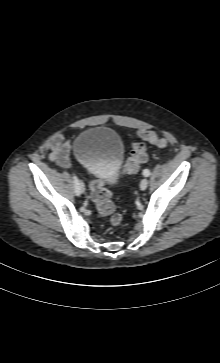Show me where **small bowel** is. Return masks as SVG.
I'll return each instance as SVG.
<instances>
[{"label":"small bowel","mask_w":220,"mask_h":363,"mask_svg":"<svg viewBox=\"0 0 220 363\" xmlns=\"http://www.w3.org/2000/svg\"><path fill=\"white\" fill-rule=\"evenodd\" d=\"M50 159L63 168H69L72 165L70 158V144L65 141L63 135H56L51 142Z\"/></svg>","instance_id":"obj_1"}]
</instances>
